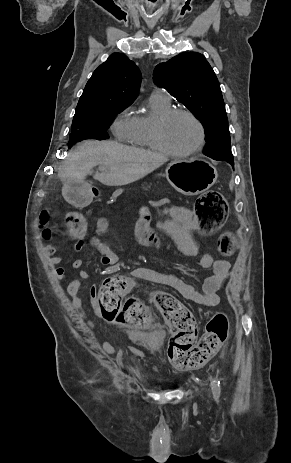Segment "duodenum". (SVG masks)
<instances>
[{
    "instance_id": "obj_1",
    "label": "duodenum",
    "mask_w": 291,
    "mask_h": 463,
    "mask_svg": "<svg viewBox=\"0 0 291 463\" xmlns=\"http://www.w3.org/2000/svg\"><path fill=\"white\" fill-rule=\"evenodd\" d=\"M92 194H93L94 197H97L99 195V192L97 190H93ZM150 239H158V238L153 237V238H150Z\"/></svg>"
}]
</instances>
